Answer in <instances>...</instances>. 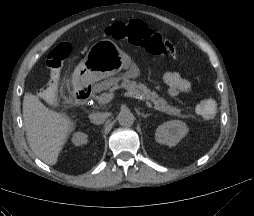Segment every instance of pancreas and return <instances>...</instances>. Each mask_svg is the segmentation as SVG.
Instances as JSON below:
<instances>
[{"instance_id": "cf45deb5", "label": "pancreas", "mask_w": 254, "mask_h": 216, "mask_svg": "<svg viewBox=\"0 0 254 216\" xmlns=\"http://www.w3.org/2000/svg\"><path fill=\"white\" fill-rule=\"evenodd\" d=\"M98 86L103 89H115L118 87L124 88L127 91L132 92L135 96H141L146 101L152 102L154 104V108L160 112L181 118H188L187 115L181 114L180 109L168 105L166 100L161 98L156 92L148 89L144 84L129 80L126 77H114L102 82Z\"/></svg>"}]
</instances>
